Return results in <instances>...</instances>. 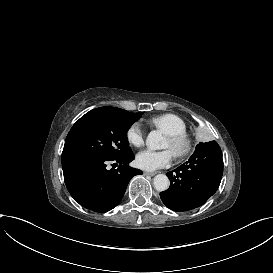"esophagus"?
<instances>
[{
	"mask_svg": "<svg viewBox=\"0 0 273 273\" xmlns=\"http://www.w3.org/2000/svg\"><path fill=\"white\" fill-rule=\"evenodd\" d=\"M144 175L154 176V175H156V172H144Z\"/></svg>",
	"mask_w": 273,
	"mask_h": 273,
	"instance_id": "34e87169",
	"label": "esophagus"
}]
</instances>
